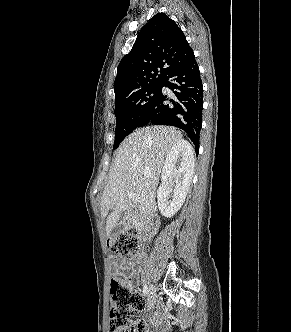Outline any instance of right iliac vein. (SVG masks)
Instances as JSON below:
<instances>
[{"label": "right iliac vein", "instance_id": "right-iliac-vein-1", "mask_svg": "<svg viewBox=\"0 0 291 332\" xmlns=\"http://www.w3.org/2000/svg\"><path fill=\"white\" fill-rule=\"evenodd\" d=\"M148 301H149V305H153L155 303L156 300V290L155 287L152 285L149 288V292H148Z\"/></svg>", "mask_w": 291, "mask_h": 332}]
</instances>
